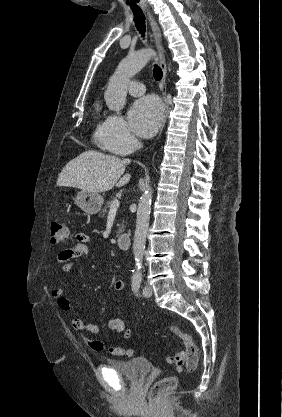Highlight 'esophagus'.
I'll use <instances>...</instances> for the list:
<instances>
[{
	"instance_id": "esophagus-1",
	"label": "esophagus",
	"mask_w": 282,
	"mask_h": 417,
	"mask_svg": "<svg viewBox=\"0 0 282 417\" xmlns=\"http://www.w3.org/2000/svg\"><path fill=\"white\" fill-rule=\"evenodd\" d=\"M148 16H149V21H150V26L152 29V35L154 38V42L158 51V56H159V63H160V67L162 70V79L159 83V87L160 90L162 92V98H163V104H164V112H163V121H162V126H161V130L159 133L158 138L161 136L164 125L166 123L167 120V114L169 111V104L167 101V87H166V75H167V66H166V61H165V54H164V48H163V43H162V34H161V30L156 22V20L154 19V17L150 14V12H148Z\"/></svg>"
}]
</instances>
